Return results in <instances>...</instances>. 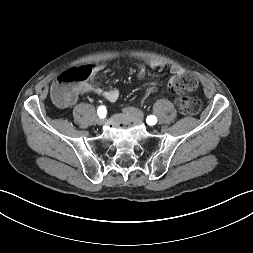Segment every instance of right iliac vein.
I'll return each instance as SVG.
<instances>
[{
	"label": "right iliac vein",
	"mask_w": 253,
	"mask_h": 253,
	"mask_svg": "<svg viewBox=\"0 0 253 253\" xmlns=\"http://www.w3.org/2000/svg\"><path fill=\"white\" fill-rule=\"evenodd\" d=\"M97 123H98V125H102L104 123V119L103 118H99L97 120Z\"/></svg>",
	"instance_id": "right-iliac-vein-1"
}]
</instances>
